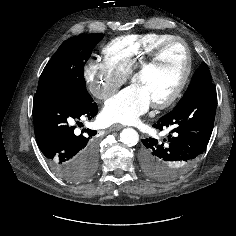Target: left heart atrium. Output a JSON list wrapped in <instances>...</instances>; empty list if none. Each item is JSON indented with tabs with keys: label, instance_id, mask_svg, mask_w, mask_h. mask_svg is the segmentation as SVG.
Instances as JSON below:
<instances>
[{
	"label": "left heart atrium",
	"instance_id": "1",
	"mask_svg": "<svg viewBox=\"0 0 236 236\" xmlns=\"http://www.w3.org/2000/svg\"><path fill=\"white\" fill-rule=\"evenodd\" d=\"M150 105L151 99L145 90L133 83L107 100L102 111V119L106 123L132 124Z\"/></svg>",
	"mask_w": 236,
	"mask_h": 236
}]
</instances>
